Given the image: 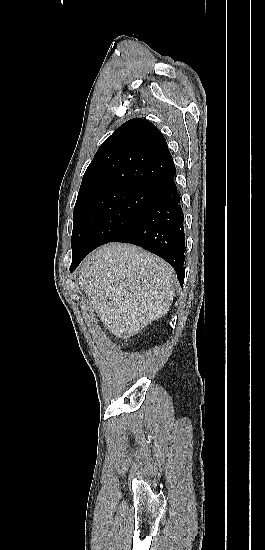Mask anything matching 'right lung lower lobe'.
<instances>
[{
  "label": "right lung lower lobe",
  "instance_id": "98d812e1",
  "mask_svg": "<svg viewBox=\"0 0 265 550\" xmlns=\"http://www.w3.org/2000/svg\"><path fill=\"white\" fill-rule=\"evenodd\" d=\"M175 169L159 185L143 213L110 242L138 245L166 260L177 272L183 287L185 272V236L180 195L174 183ZM79 260L70 271L76 269Z\"/></svg>",
  "mask_w": 265,
  "mask_h": 550
}]
</instances>
